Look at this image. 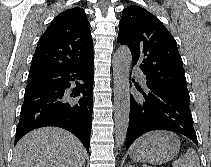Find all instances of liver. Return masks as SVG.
<instances>
[{"mask_svg":"<svg viewBox=\"0 0 211 167\" xmlns=\"http://www.w3.org/2000/svg\"><path fill=\"white\" fill-rule=\"evenodd\" d=\"M85 149L66 130L36 129L25 135L14 149L11 167H82Z\"/></svg>","mask_w":211,"mask_h":167,"instance_id":"1","label":"liver"}]
</instances>
